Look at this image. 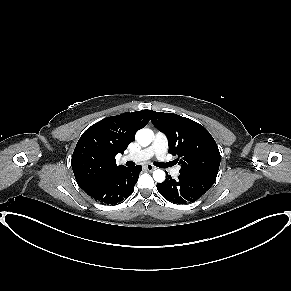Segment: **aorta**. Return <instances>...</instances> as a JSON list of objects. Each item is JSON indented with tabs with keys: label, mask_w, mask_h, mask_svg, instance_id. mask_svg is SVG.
<instances>
[{
	"label": "aorta",
	"mask_w": 291,
	"mask_h": 291,
	"mask_svg": "<svg viewBox=\"0 0 291 291\" xmlns=\"http://www.w3.org/2000/svg\"><path fill=\"white\" fill-rule=\"evenodd\" d=\"M136 140L142 146H148L152 142V131L150 129L142 128L136 133ZM153 178L156 182H163L165 180V172L157 169L153 171Z\"/></svg>",
	"instance_id": "aorta-1"
}]
</instances>
